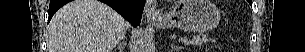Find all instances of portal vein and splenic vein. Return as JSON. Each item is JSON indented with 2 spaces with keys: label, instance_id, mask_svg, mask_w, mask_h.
<instances>
[{
  "label": "portal vein and splenic vein",
  "instance_id": "18ae733b",
  "mask_svg": "<svg viewBox=\"0 0 305 52\" xmlns=\"http://www.w3.org/2000/svg\"><path fill=\"white\" fill-rule=\"evenodd\" d=\"M179 41L184 42V41H186V38H181V39H179Z\"/></svg>",
  "mask_w": 305,
  "mask_h": 52
}]
</instances>
